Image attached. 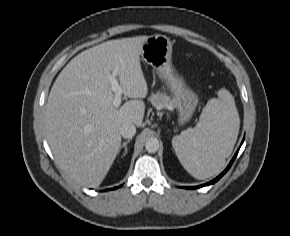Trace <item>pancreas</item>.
<instances>
[{
  "mask_svg": "<svg viewBox=\"0 0 290 236\" xmlns=\"http://www.w3.org/2000/svg\"><path fill=\"white\" fill-rule=\"evenodd\" d=\"M149 100L156 108H173V101L165 93L157 92L156 94H152Z\"/></svg>",
  "mask_w": 290,
  "mask_h": 236,
  "instance_id": "obj_1",
  "label": "pancreas"
}]
</instances>
